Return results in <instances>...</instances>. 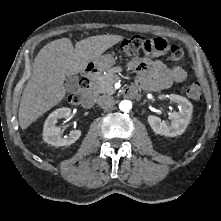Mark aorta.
Returning <instances> with one entry per match:
<instances>
[{
  "label": "aorta",
  "instance_id": "1",
  "mask_svg": "<svg viewBox=\"0 0 221 221\" xmlns=\"http://www.w3.org/2000/svg\"><path fill=\"white\" fill-rule=\"evenodd\" d=\"M132 108V102L129 100H122L119 104V109L122 112H129Z\"/></svg>",
  "mask_w": 221,
  "mask_h": 221
}]
</instances>
